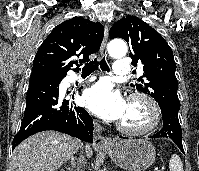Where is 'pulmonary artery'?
<instances>
[{
	"mask_svg": "<svg viewBox=\"0 0 199 171\" xmlns=\"http://www.w3.org/2000/svg\"><path fill=\"white\" fill-rule=\"evenodd\" d=\"M131 67L128 60H118L114 63L113 73L118 76H126L130 74ZM76 80V79H75ZM93 78L90 79V81Z\"/></svg>",
	"mask_w": 199,
	"mask_h": 171,
	"instance_id": "e3ab8cb5",
	"label": "pulmonary artery"
}]
</instances>
